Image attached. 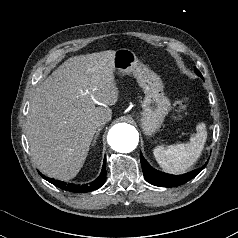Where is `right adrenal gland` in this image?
Wrapping results in <instances>:
<instances>
[{
    "instance_id": "right-adrenal-gland-1",
    "label": "right adrenal gland",
    "mask_w": 238,
    "mask_h": 238,
    "mask_svg": "<svg viewBox=\"0 0 238 238\" xmlns=\"http://www.w3.org/2000/svg\"><path fill=\"white\" fill-rule=\"evenodd\" d=\"M101 129H102V128L100 127V128H98V130L96 131V134H95L94 139H93V142H92V146L95 145L96 140H97V138H98V136H99V134H100Z\"/></svg>"
}]
</instances>
